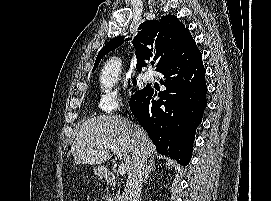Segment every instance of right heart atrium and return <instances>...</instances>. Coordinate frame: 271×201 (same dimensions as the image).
I'll list each match as a JSON object with an SVG mask.
<instances>
[{"label":"right heart atrium","instance_id":"1","mask_svg":"<svg viewBox=\"0 0 271 201\" xmlns=\"http://www.w3.org/2000/svg\"><path fill=\"white\" fill-rule=\"evenodd\" d=\"M122 104V98L116 91H110L103 94L98 102V107L105 112H113Z\"/></svg>","mask_w":271,"mask_h":201}]
</instances>
